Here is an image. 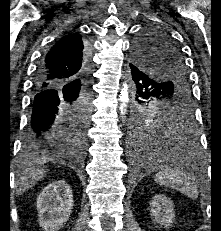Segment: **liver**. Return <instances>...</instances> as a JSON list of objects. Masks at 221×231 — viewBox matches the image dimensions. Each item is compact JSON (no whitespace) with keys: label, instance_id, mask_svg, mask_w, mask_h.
Instances as JSON below:
<instances>
[{"label":"liver","instance_id":"6515ba94","mask_svg":"<svg viewBox=\"0 0 221 231\" xmlns=\"http://www.w3.org/2000/svg\"><path fill=\"white\" fill-rule=\"evenodd\" d=\"M48 157H43L42 161H45ZM45 174V170L40 167H33L26 170L23 176L17 181L16 192L17 194H22L29 188L33 187L37 182H39Z\"/></svg>","mask_w":221,"mask_h":231}]
</instances>
